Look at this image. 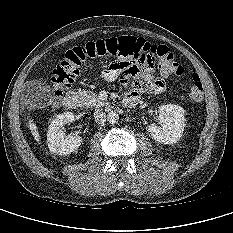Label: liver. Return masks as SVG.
Wrapping results in <instances>:
<instances>
[{
  "mask_svg": "<svg viewBox=\"0 0 233 233\" xmlns=\"http://www.w3.org/2000/svg\"><path fill=\"white\" fill-rule=\"evenodd\" d=\"M28 128L30 129L32 136L34 137V139L39 142L40 141V134L38 132V128L36 126V124H34V122L32 120L28 121Z\"/></svg>",
  "mask_w": 233,
  "mask_h": 233,
  "instance_id": "obj_1",
  "label": "liver"
}]
</instances>
